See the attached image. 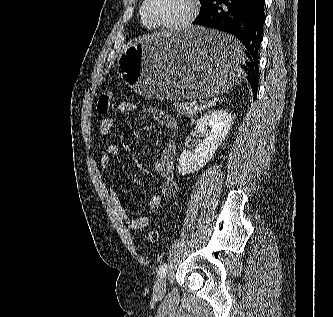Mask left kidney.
<instances>
[{
	"label": "left kidney",
	"instance_id": "1",
	"mask_svg": "<svg viewBox=\"0 0 333 317\" xmlns=\"http://www.w3.org/2000/svg\"><path fill=\"white\" fill-rule=\"evenodd\" d=\"M232 123V114L223 109L210 111L201 116L194 130L204 139L193 152H182L178 164L179 173L186 175L203 168L220 147Z\"/></svg>",
	"mask_w": 333,
	"mask_h": 317
}]
</instances>
